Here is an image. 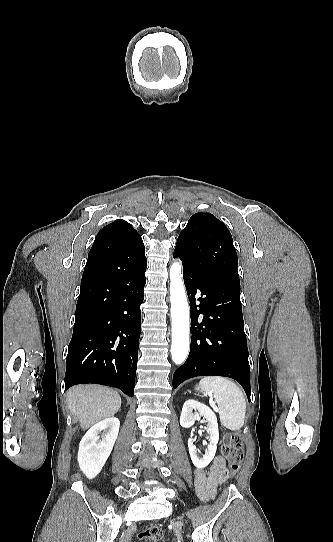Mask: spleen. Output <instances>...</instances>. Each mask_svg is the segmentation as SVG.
I'll return each instance as SVG.
<instances>
[{"label":"spleen","instance_id":"1","mask_svg":"<svg viewBox=\"0 0 333 542\" xmlns=\"http://www.w3.org/2000/svg\"><path fill=\"white\" fill-rule=\"evenodd\" d=\"M199 388L206 396H214L222 426L232 432H239L246 416V400L239 386L228 378L207 376L200 380Z\"/></svg>","mask_w":333,"mask_h":542}]
</instances>
